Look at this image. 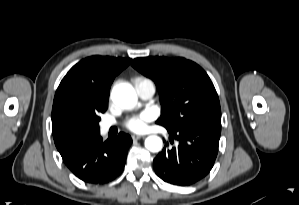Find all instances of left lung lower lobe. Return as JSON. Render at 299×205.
Segmentation results:
<instances>
[{
  "instance_id": "1",
  "label": "left lung lower lobe",
  "mask_w": 299,
  "mask_h": 205,
  "mask_svg": "<svg viewBox=\"0 0 299 205\" xmlns=\"http://www.w3.org/2000/svg\"><path fill=\"white\" fill-rule=\"evenodd\" d=\"M179 141L166 146L153 161L156 174L165 182L187 186L204 178L212 169L219 146L221 122L212 121L175 129L166 128Z\"/></svg>"
}]
</instances>
